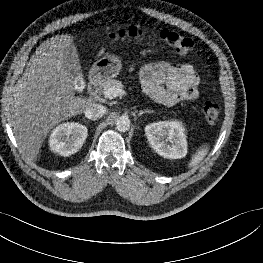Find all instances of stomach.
<instances>
[{
  "label": "stomach",
  "mask_w": 263,
  "mask_h": 263,
  "mask_svg": "<svg viewBox=\"0 0 263 263\" xmlns=\"http://www.w3.org/2000/svg\"><path fill=\"white\" fill-rule=\"evenodd\" d=\"M122 68L121 61L114 55H107L92 66L89 79L95 83L105 82L106 80L117 77Z\"/></svg>",
  "instance_id": "obj_1"
}]
</instances>
